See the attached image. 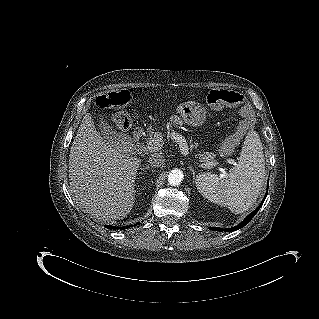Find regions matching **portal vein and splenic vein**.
Returning a JSON list of instances; mask_svg holds the SVG:
<instances>
[{
    "instance_id": "obj_1",
    "label": "portal vein and splenic vein",
    "mask_w": 319,
    "mask_h": 319,
    "mask_svg": "<svg viewBox=\"0 0 319 319\" xmlns=\"http://www.w3.org/2000/svg\"><path fill=\"white\" fill-rule=\"evenodd\" d=\"M161 136L159 134H156L155 137L153 138V140H151L149 143H148V146L147 148L149 150H156L157 149V146L159 145V143L162 141V139L160 138ZM170 138L172 140H175V142H177L179 144V148L181 150V153L184 155V156H187L189 154V148H188V145L186 143V140L184 139L183 136L175 133V132H171L170 133ZM229 162L231 164H235L234 160L233 159H229ZM221 172L222 174H225V171L223 169H221Z\"/></svg>"
}]
</instances>
